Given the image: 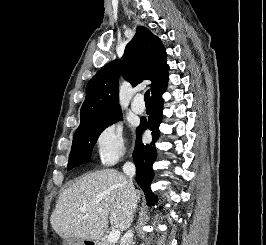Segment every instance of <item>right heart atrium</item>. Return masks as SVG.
<instances>
[{
	"mask_svg": "<svg viewBox=\"0 0 266 245\" xmlns=\"http://www.w3.org/2000/svg\"><path fill=\"white\" fill-rule=\"evenodd\" d=\"M94 147L100 165H115L127 152L123 127L118 123L103 127L95 137Z\"/></svg>",
	"mask_w": 266,
	"mask_h": 245,
	"instance_id": "obj_1",
	"label": "right heart atrium"
}]
</instances>
